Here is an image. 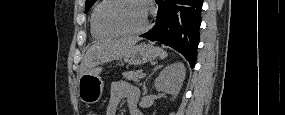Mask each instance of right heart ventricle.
<instances>
[{
	"label": "right heart ventricle",
	"instance_id": "1",
	"mask_svg": "<svg viewBox=\"0 0 285 115\" xmlns=\"http://www.w3.org/2000/svg\"><path fill=\"white\" fill-rule=\"evenodd\" d=\"M96 8L94 9L90 17V30H91V34L93 38L98 39V40H107V39L115 38L116 35L104 32L96 25L95 20H94V13H95Z\"/></svg>",
	"mask_w": 285,
	"mask_h": 115
}]
</instances>
